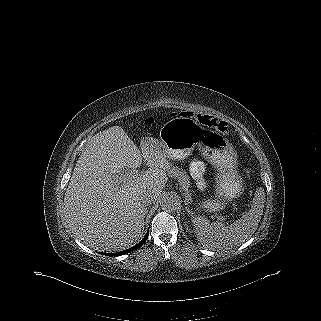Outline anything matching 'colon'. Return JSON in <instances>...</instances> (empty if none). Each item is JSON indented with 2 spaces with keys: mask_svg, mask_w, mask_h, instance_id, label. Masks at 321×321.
Segmentation results:
<instances>
[{
  "mask_svg": "<svg viewBox=\"0 0 321 321\" xmlns=\"http://www.w3.org/2000/svg\"><path fill=\"white\" fill-rule=\"evenodd\" d=\"M184 116H193L200 124L212 128L222 134L229 133V125L227 122L214 118L210 115L205 114H193L191 112H184Z\"/></svg>",
  "mask_w": 321,
  "mask_h": 321,
  "instance_id": "1",
  "label": "colon"
}]
</instances>
